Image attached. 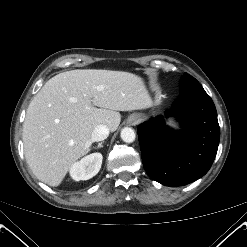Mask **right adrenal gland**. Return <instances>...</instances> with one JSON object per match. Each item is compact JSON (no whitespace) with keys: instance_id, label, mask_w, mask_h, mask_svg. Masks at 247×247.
I'll use <instances>...</instances> for the list:
<instances>
[{"instance_id":"obj_1","label":"right adrenal gland","mask_w":247,"mask_h":247,"mask_svg":"<svg viewBox=\"0 0 247 247\" xmlns=\"http://www.w3.org/2000/svg\"><path fill=\"white\" fill-rule=\"evenodd\" d=\"M103 143H104V142L99 143V144H98L96 147H94V148H96V149L102 148V147H103Z\"/></svg>"}]
</instances>
